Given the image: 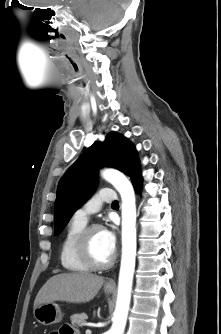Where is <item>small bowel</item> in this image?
Returning <instances> with one entry per match:
<instances>
[{
  "label": "small bowel",
  "instance_id": "c3829d8e",
  "mask_svg": "<svg viewBox=\"0 0 221 334\" xmlns=\"http://www.w3.org/2000/svg\"><path fill=\"white\" fill-rule=\"evenodd\" d=\"M57 333H58V334H76V333L74 332V330L71 329V328H69V327H62V328L60 329V331L57 332Z\"/></svg>",
  "mask_w": 221,
  "mask_h": 334
}]
</instances>
